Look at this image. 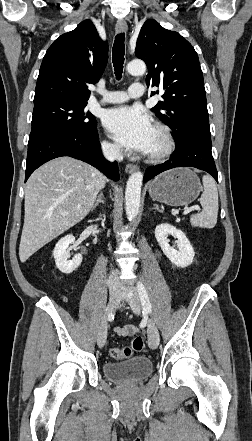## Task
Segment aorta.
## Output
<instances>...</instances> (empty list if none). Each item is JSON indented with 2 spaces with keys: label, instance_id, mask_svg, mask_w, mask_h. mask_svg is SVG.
Instances as JSON below:
<instances>
[{
  "label": "aorta",
  "instance_id": "obj_1",
  "mask_svg": "<svg viewBox=\"0 0 252 441\" xmlns=\"http://www.w3.org/2000/svg\"><path fill=\"white\" fill-rule=\"evenodd\" d=\"M129 74L143 75L146 65L142 60H133L126 67ZM143 174L140 171L134 172L128 179L125 191V207L128 220H134L140 209L141 187Z\"/></svg>",
  "mask_w": 252,
  "mask_h": 441
}]
</instances>
